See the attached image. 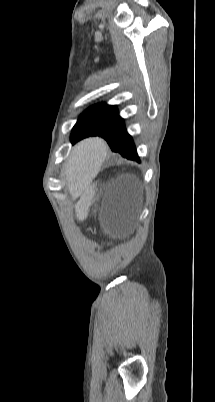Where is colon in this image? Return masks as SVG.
<instances>
[{"label": "colon", "mask_w": 215, "mask_h": 402, "mask_svg": "<svg viewBox=\"0 0 215 402\" xmlns=\"http://www.w3.org/2000/svg\"><path fill=\"white\" fill-rule=\"evenodd\" d=\"M89 247V246H88ZM91 247V246H90ZM92 258H97V253H92Z\"/></svg>", "instance_id": "obj_1"}]
</instances>
